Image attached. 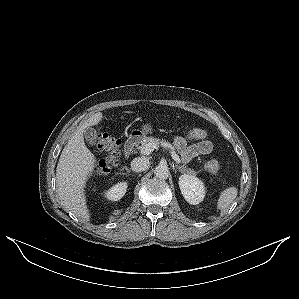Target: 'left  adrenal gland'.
I'll use <instances>...</instances> for the list:
<instances>
[{
  "label": "left adrenal gland",
  "instance_id": "a2214340",
  "mask_svg": "<svg viewBox=\"0 0 299 299\" xmlns=\"http://www.w3.org/2000/svg\"><path fill=\"white\" fill-rule=\"evenodd\" d=\"M173 168H174V170L178 169L180 172L184 171V169H185L184 167L178 166V165H176L175 167L173 166Z\"/></svg>",
  "mask_w": 299,
  "mask_h": 299
}]
</instances>
